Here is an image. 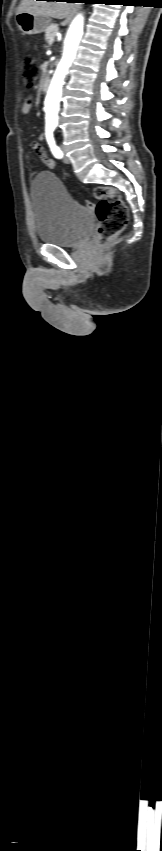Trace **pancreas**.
I'll list each match as a JSON object with an SVG mask.
<instances>
[{"label": "pancreas", "mask_w": 162, "mask_h": 851, "mask_svg": "<svg viewBox=\"0 0 162 851\" xmlns=\"http://www.w3.org/2000/svg\"><path fill=\"white\" fill-rule=\"evenodd\" d=\"M57 31H58V25L57 24H51L50 26L47 27V29L45 31V40L47 41V43L50 44V43L53 42Z\"/></svg>", "instance_id": "obj_1"}]
</instances>
